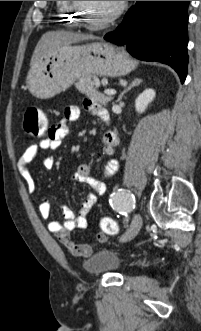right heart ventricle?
Returning <instances> with one entry per match:
<instances>
[{
	"label": "right heart ventricle",
	"instance_id": "e07e8e85",
	"mask_svg": "<svg viewBox=\"0 0 201 331\" xmlns=\"http://www.w3.org/2000/svg\"><path fill=\"white\" fill-rule=\"evenodd\" d=\"M56 7L59 18L65 23V26L73 27L77 25V13L72 8L71 1H56Z\"/></svg>",
	"mask_w": 201,
	"mask_h": 331
}]
</instances>
